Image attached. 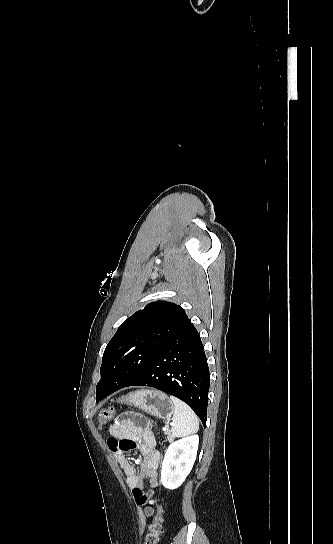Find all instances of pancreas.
I'll list each match as a JSON object with an SVG mask.
<instances>
[{"instance_id": "pancreas-1", "label": "pancreas", "mask_w": 333, "mask_h": 544, "mask_svg": "<svg viewBox=\"0 0 333 544\" xmlns=\"http://www.w3.org/2000/svg\"><path fill=\"white\" fill-rule=\"evenodd\" d=\"M165 434L167 435V439H168V440H171V439H172V436H171V434H170L169 431H166Z\"/></svg>"}]
</instances>
